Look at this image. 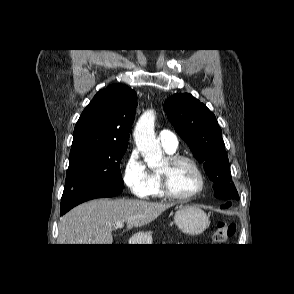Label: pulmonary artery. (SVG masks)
<instances>
[{"label":"pulmonary artery","instance_id":"e3ab8cb5","mask_svg":"<svg viewBox=\"0 0 294 294\" xmlns=\"http://www.w3.org/2000/svg\"><path fill=\"white\" fill-rule=\"evenodd\" d=\"M159 141L161 146L168 152H175L178 148V140L176 136L169 130L159 132Z\"/></svg>","mask_w":294,"mask_h":294}]
</instances>
